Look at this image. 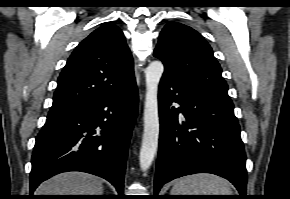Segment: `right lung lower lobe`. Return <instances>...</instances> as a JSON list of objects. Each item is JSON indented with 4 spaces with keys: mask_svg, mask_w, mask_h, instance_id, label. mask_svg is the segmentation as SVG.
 I'll return each mask as SVG.
<instances>
[{
    "mask_svg": "<svg viewBox=\"0 0 290 199\" xmlns=\"http://www.w3.org/2000/svg\"><path fill=\"white\" fill-rule=\"evenodd\" d=\"M134 82L123 92L50 112L36 137L30 174L31 194L58 173L82 171L100 176L122 196L128 145L137 117Z\"/></svg>",
    "mask_w": 290,
    "mask_h": 199,
    "instance_id": "right-lung-lower-lobe-1",
    "label": "right lung lower lobe"
}]
</instances>
